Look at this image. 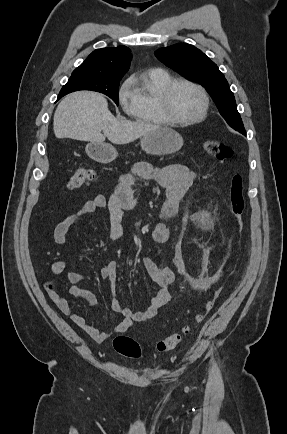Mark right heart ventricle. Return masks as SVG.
Here are the masks:
<instances>
[{
	"label": "right heart ventricle",
	"mask_w": 287,
	"mask_h": 434,
	"mask_svg": "<svg viewBox=\"0 0 287 434\" xmlns=\"http://www.w3.org/2000/svg\"><path fill=\"white\" fill-rule=\"evenodd\" d=\"M171 79L173 78L170 73L163 69H151L144 72L136 83L138 103L130 114L140 122L167 124L159 108L158 96L161 89Z\"/></svg>",
	"instance_id": "1"
}]
</instances>
